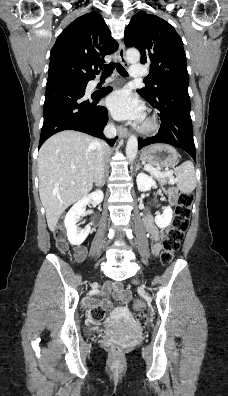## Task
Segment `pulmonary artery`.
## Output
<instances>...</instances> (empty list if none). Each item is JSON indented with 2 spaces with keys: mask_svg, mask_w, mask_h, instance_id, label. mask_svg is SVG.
Instances as JSON below:
<instances>
[{
  "mask_svg": "<svg viewBox=\"0 0 228 396\" xmlns=\"http://www.w3.org/2000/svg\"><path fill=\"white\" fill-rule=\"evenodd\" d=\"M146 73L147 72L145 71V69L143 67H141V66L133 65L130 68V75L133 78H137V79L142 78V77H144L146 75ZM109 81H110V79L106 80L105 82H109ZM98 82H99V80L95 81V83H98Z\"/></svg>",
  "mask_w": 228,
  "mask_h": 396,
  "instance_id": "1",
  "label": "pulmonary artery"
}]
</instances>
